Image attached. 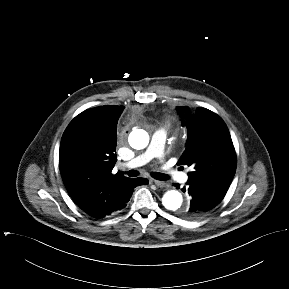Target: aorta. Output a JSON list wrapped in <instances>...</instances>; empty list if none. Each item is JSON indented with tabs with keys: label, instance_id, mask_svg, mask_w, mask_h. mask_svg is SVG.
Returning <instances> with one entry per match:
<instances>
[{
	"label": "aorta",
	"instance_id": "aorta-1",
	"mask_svg": "<svg viewBox=\"0 0 289 289\" xmlns=\"http://www.w3.org/2000/svg\"><path fill=\"white\" fill-rule=\"evenodd\" d=\"M149 135L144 130H137L129 137V144L132 148L140 150L147 147ZM163 206L170 211H178L183 205V197L177 190H169L162 197Z\"/></svg>",
	"mask_w": 289,
	"mask_h": 289
}]
</instances>
